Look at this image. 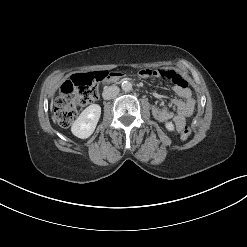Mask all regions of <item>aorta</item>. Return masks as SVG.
<instances>
[{"instance_id":"1","label":"aorta","mask_w":247,"mask_h":247,"mask_svg":"<svg viewBox=\"0 0 247 247\" xmlns=\"http://www.w3.org/2000/svg\"><path fill=\"white\" fill-rule=\"evenodd\" d=\"M121 87L123 91L129 92L132 90V83L129 81H123Z\"/></svg>"}]
</instances>
